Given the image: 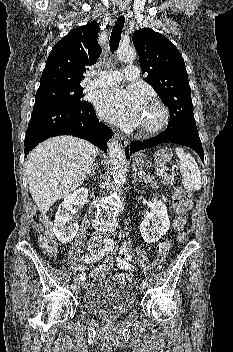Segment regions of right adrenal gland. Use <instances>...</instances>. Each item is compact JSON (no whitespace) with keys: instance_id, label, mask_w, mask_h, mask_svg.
<instances>
[{"instance_id":"2a0ac1e0","label":"right adrenal gland","mask_w":233,"mask_h":352,"mask_svg":"<svg viewBox=\"0 0 233 352\" xmlns=\"http://www.w3.org/2000/svg\"><path fill=\"white\" fill-rule=\"evenodd\" d=\"M95 170H98V169H97V166L95 164H93L91 171L88 173L86 178L88 179V177L96 175Z\"/></svg>"}]
</instances>
